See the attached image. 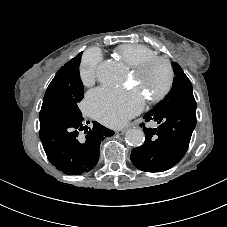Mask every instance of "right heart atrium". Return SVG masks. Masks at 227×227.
<instances>
[{
	"label": "right heart atrium",
	"instance_id": "d8ad5b80",
	"mask_svg": "<svg viewBox=\"0 0 227 227\" xmlns=\"http://www.w3.org/2000/svg\"><path fill=\"white\" fill-rule=\"evenodd\" d=\"M102 56L97 50H90L83 56L80 67V79L85 86L94 83Z\"/></svg>",
	"mask_w": 227,
	"mask_h": 227
}]
</instances>
